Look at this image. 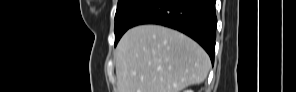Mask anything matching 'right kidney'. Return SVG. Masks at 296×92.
I'll return each mask as SVG.
<instances>
[{
    "label": "right kidney",
    "mask_w": 296,
    "mask_h": 92,
    "mask_svg": "<svg viewBox=\"0 0 296 92\" xmlns=\"http://www.w3.org/2000/svg\"><path fill=\"white\" fill-rule=\"evenodd\" d=\"M185 92H192L191 90H186Z\"/></svg>",
    "instance_id": "right-kidney-1"
}]
</instances>
